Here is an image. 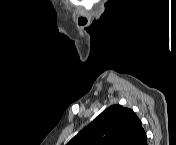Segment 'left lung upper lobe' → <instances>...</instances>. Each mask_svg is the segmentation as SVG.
Masks as SVG:
<instances>
[{
    "instance_id": "left-lung-upper-lobe-1",
    "label": "left lung upper lobe",
    "mask_w": 176,
    "mask_h": 145,
    "mask_svg": "<svg viewBox=\"0 0 176 145\" xmlns=\"http://www.w3.org/2000/svg\"><path fill=\"white\" fill-rule=\"evenodd\" d=\"M146 133L133 110L113 105L97 116L67 145H142Z\"/></svg>"
}]
</instances>
